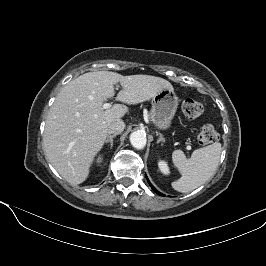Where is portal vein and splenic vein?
<instances>
[{
    "label": "portal vein and splenic vein",
    "instance_id": "18ae733b",
    "mask_svg": "<svg viewBox=\"0 0 266 266\" xmlns=\"http://www.w3.org/2000/svg\"><path fill=\"white\" fill-rule=\"evenodd\" d=\"M110 107H111V104H110V103H104V104L102 105V109H108V108H110ZM187 149L189 150L190 147L188 146Z\"/></svg>",
    "mask_w": 266,
    "mask_h": 266
}]
</instances>
